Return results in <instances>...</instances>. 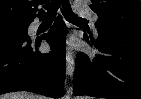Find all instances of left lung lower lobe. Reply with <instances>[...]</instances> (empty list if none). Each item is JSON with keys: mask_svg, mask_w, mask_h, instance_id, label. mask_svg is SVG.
I'll list each match as a JSON object with an SVG mask.
<instances>
[{"mask_svg": "<svg viewBox=\"0 0 141 99\" xmlns=\"http://www.w3.org/2000/svg\"><path fill=\"white\" fill-rule=\"evenodd\" d=\"M84 39L89 42L85 34ZM98 54L79 52L73 91L109 99H141V32L99 29Z\"/></svg>", "mask_w": 141, "mask_h": 99, "instance_id": "left-lung-lower-lobe-1", "label": "left lung lower lobe"}]
</instances>
